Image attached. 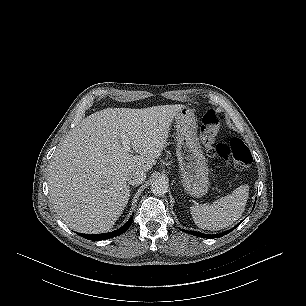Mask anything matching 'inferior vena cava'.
Listing matches in <instances>:
<instances>
[{
    "instance_id": "inferior-vena-cava-1",
    "label": "inferior vena cava",
    "mask_w": 306,
    "mask_h": 306,
    "mask_svg": "<svg viewBox=\"0 0 306 306\" xmlns=\"http://www.w3.org/2000/svg\"><path fill=\"white\" fill-rule=\"evenodd\" d=\"M146 178V174L143 171H133L132 173L129 174L127 178V182L130 185H139L141 184Z\"/></svg>"
}]
</instances>
